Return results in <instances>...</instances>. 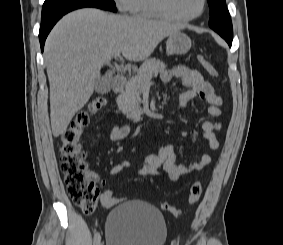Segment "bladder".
<instances>
[{
	"instance_id": "bladder-1",
	"label": "bladder",
	"mask_w": 283,
	"mask_h": 245,
	"mask_svg": "<svg viewBox=\"0 0 283 245\" xmlns=\"http://www.w3.org/2000/svg\"><path fill=\"white\" fill-rule=\"evenodd\" d=\"M106 245H164L167 226L161 211L141 200L115 206L105 225Z\"/></svg>"
}]
</instances>
